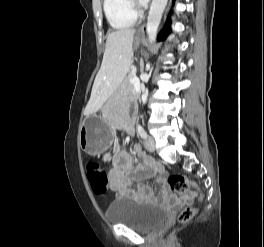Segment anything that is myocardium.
Returning a JSON list of instances; mask_svg holds the SVG:
<instances>
[{"instance_id": "obj_1", "label": "myocardium", "mask_w": 264, "mask_h": 247, "mask_svg": "<svg viewBox=\"0 0 264 247\" xmlns=\"http://www.w3.org/2000/svg\"><path fill=\"white\" fill-rule=\"evenodd\" d=\"M133 10L135 11L136 14H140L141 11L138 8H133Z\"/></svg>"}]
</instances>
